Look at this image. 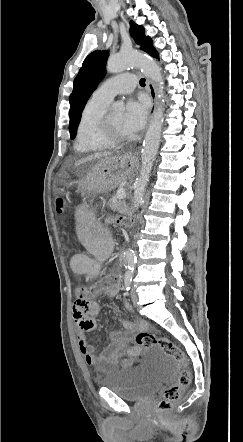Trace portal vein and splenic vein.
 I'll use <instances>...</instances> for the list:
<instances>
[{"instance_id":"18ae733b","label":"portal vein and splenic vein","mask_w":243,"mask_h":442,"mask_svg":"<svg viewBox=\"0 0 243 442\" xmlns=\"http://www.w3.org/2000/svg\"><path fill=\"white\" fill-rule=\"evenodd\" d=\"M126 197V192L123 188L117 190L115 199H124Z\"/></svg>"}]
</instances>
